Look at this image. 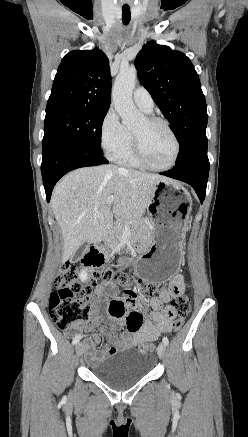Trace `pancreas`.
Returning <instances> with one entry per match:
<instances>
[{
    "label": "pancreas",
    "instance_id": "obj_1",
    "mask_svg": "<svg viewBox=\"0 0 248 437\" xmlns=\"http://www.w3.org/2000/svg\"><path fill=\"white\" fill-rule=\"evenodd\" d=\"M129 221H132V224H128ZM125 226H129L132 232H140L141 236L144 237L147 236L148 233H150L148 224L143 220H126L122 225L117 226L114 230L112 237L107 243V246L110 249H115L118 247L121 241L122 234L125 230ZM149 236L147 237V239L149 238Z\"/></svg>",
    "mask_w": 248,
    "mask_h": 437
}]
</instances>
